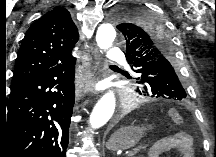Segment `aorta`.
Masks as SVG:
<instances>
[{
	"mask_svg": "<svg viewBox=\"0 0 216 157\" xmlns=\"http://www.w3.org/2000/svg\"><path fill=\"white\" fill-rule=\"evenodd\" d=\"M116 37V31L112 24H102L96 34V42L100 49H109ZM116 106V99L113 91L109 90L97 102L90 115L89 126L98 129L104 126L113 116Z\"/></svg>",
	"mask_w": 216,
	"mask_h": 157,
	"instance_id": "762f6f07",
	"label": "aorta"
}]
</instances>
